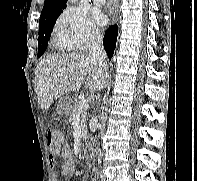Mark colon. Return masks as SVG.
<instances>
[{
    "label": "colon",
    "mask_w": 197,
    "mask_h": 181,
    "mask_svg": "<svg viewBox=\"0 0 197 181\" xmlns=\"http://www.w3.org/2000/svg\"><path fill=\"white\" fill-rule=\"evenodd\" d=\"M47 142L52 152H58L63 144L61 135L54 127L47 130Z\"/></svg>",
    "instance_id": "colon-1"
}]
</instances>
